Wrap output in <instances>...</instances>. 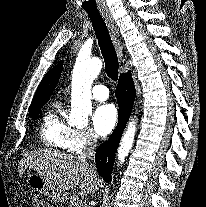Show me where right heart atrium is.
<instances>
[{
  "instance_id": "obj_1",
  "label": "right heart atrium",
  "mask_w": 206,
  "mask_h": 207,
  "mask_svg": "<svg viewBox=\"0 0 206 207\" xmlns=\"http://www.w3.org/2000/svg\"><path fill=\"white\" fill-rule=\"evenodd\" d=\"M70 148L72 151L81 152L93 147L97 139L89 129H72L70 134Z\"/></svg>"
}]
</instances>
